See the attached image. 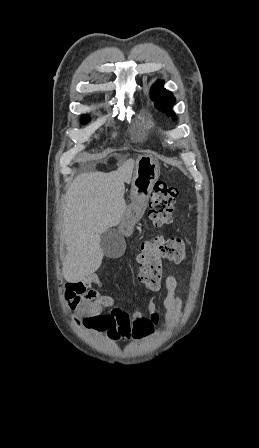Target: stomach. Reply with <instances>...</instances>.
Wrapping results in <instances>:
<instances>
[{
	"label": "stomach",
	"instance_id": "stomach-1",
	"mask_svg": "<svg viewBox=\"0 0 259 448\" xmlns=\"http://www.w3.org/2000/svg\"><path fill=\"white\" fill-rule=\"evenodd\" d=\"M160 174V166L152 156H139L136 160V168L131 184V200L134 204L148 202L153 190V184L157 182ZM144 209L142 206H125L123 212V224L120 226L123 234H130L129 227H135L136 221H142Z\"/></svg>",
	"mask_w": 259,
	"mask_h": 448
}]
</instances>
